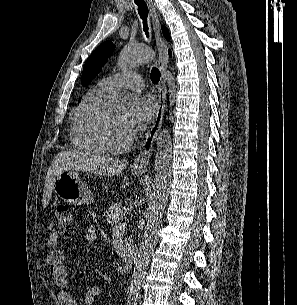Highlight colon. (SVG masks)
<instances>
[{
	"mask_svg": "<svg viewBox=\"0 0 297 305\" xmlns=\"http://www.w3.org/2000/svg\"><path fill=\"white\" fill-rule=\"evenodd\" d=\"M72 213L65 205H60L51 224V233L59 239H67L73 234Z\"/></svg>",
	"mask_w": 297,
	"mask_h": 305,
	"instance_id": "5ec220e1",
	"label": "colon"
}]
</instances>
